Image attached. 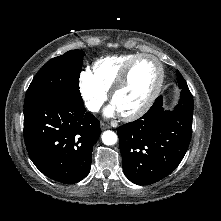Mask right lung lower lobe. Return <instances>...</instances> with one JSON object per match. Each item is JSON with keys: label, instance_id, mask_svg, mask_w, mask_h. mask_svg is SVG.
I'll list each match as a JSON object with an SVG mask.
<instances>
[{"label": "right lung lower lobe", "instance_id": "98d812e1", "mask_svg": "<svg viewBox=\"0 0 221 221\" xmlns=\"http://www.w3.org/2000/svg\"><path fill=\"white\" fill-rule=\"evenodd\" d=\"M99 121L83 104L50 97L24 107V140L35 166L47 177L73 184L88 175Z\"/></svg>", "mask_w": 221, "mask_h": 221}]
</instances>
